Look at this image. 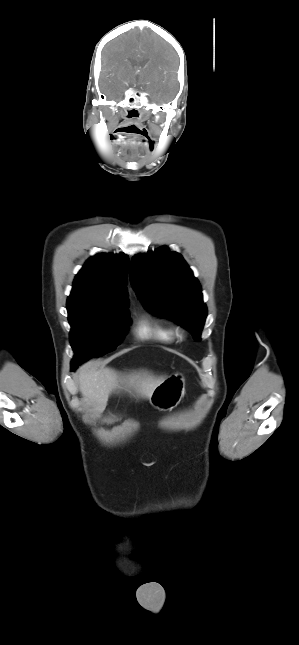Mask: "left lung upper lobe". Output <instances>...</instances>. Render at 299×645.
<instances>
[{
  "label": "left lung upper lobe",
  "mask_w": 299,
  "mask_h": 645,
  "mask_svg": "<svg viewBox=\"0 0 299 645\" xmlns=\"http://www.w3.org/2000/svg\"><path fill=\"white\" fill-rule=\"evenodd\" d=\"M130 278L148 311L173 319L200 341L207 308L198 280L179 253L163 246L134 256Z\"/></svg>",
  "instance_id": "1"
}]
</instances>
